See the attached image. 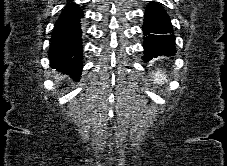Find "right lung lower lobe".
<instances>
[{"instance_id":"1","label":"right lung lower lobe","mask_w":227,"mask_h":166,"mask_svg":"<svg viewBox=\"0 0 227 166\" xmlns=\"http://www.w3.org/2000/svg\"><path fill=\"white\" fill-rule=\"evenodd\" d=\"M83 11L74 3L68 4L59 16L52 32L49 49L50 66L78 80L82 71Z\"/></svg>"}]
</instances>
